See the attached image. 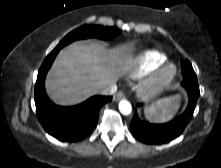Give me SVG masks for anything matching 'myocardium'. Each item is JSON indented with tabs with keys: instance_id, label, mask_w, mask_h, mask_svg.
I'll use <instances>...</instances> for the list:
<instances>
[{
	"instance_id": "f54148a6",
	"label": "myocardium",
	"mask_w": 221,
	"mask_h": 168,
	"mask_svg": "<svg viewBox=\"0 0 221 168\" xmlns=\"http://www.w3.org/2000/svg\"><path fill=\"white\" fill-rule=\"evenodd\" d=\"M176 74L177 67L174 63L166 62L162 64L143 84L141 89L142 95L147 98L158 95L172 83Z\"/></svg>"
}]
</instances>
